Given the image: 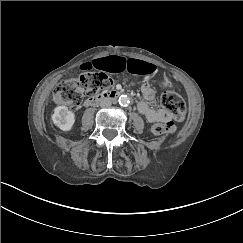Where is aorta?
Masks as SVG:
<instances>
[{
    "instance_id": "762f6f07",
    "label": "aorta",
    "mask_w": 243,
    "mask_h": 243,
    "mask_svg": "<svg viewBox=\"0 0 243 243\" xmlns=\"http://www.w3.org/2000/svg\"><path fill=\"white\" fill-rule=\"evenodd\" d=\"M129 103V99L127 97V95H121L119 97V104L120 105H127Z\"/></svg>"
}]
</instances>
